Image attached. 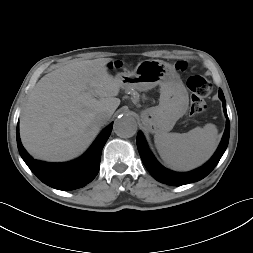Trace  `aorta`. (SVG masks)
Segmentation results:
<instances>
[{
	"label": "aorta",
	"mask_w": 253,
	"mask_h": 253,
	"mask_svg": "<svg viewBox=\"0 0 253 253\" xmlns=\"http://www.w3.org/2000/svg\"><path fill=\"white\" fill-rule=\"evenodd\" d=\"M113 130L119 137L130 138L137 132V122L133 116L122 114L116 118Z\"/></svg>",
	"instance_id": "1"
}]
</instances>
